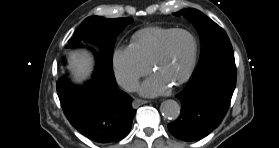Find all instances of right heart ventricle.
Wrapping results in <instances>:
<instances>
[{
    "label": "right heart ventricle",
    "mask_w": 279,
    "mask_h": 148,
    "mask_svg": "<svg viewBox=\"0 0 279 148\" xmlns=\"http://www.w3.org/2000/svg\"><path fill=\"white\" fill-rule=\"evenodd\" d=\"M172 30L174 28L148 27L142 29L134 36L131 46L138 56L150 65L163 39Z\"/></svg>",
    "instance_id": "e07e8e85"
}]
</instances>
